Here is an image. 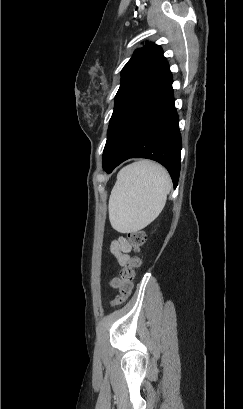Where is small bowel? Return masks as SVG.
Wrapping results in <instances>:
<instances>
[{"label": "small bowel", "instance_id": "small-bowel-1", "mask_svg": "<svg viewBox=\"0 0 243 409\" xmlns=\"http://www.w3.org/2000/svg\"><path fill=\"white\" fill-rule=\"evenodd\" d=\"M111 253L118 260L119 264L124 265L128 260V254L131 251V246L124 237H120L118 240H115L111 243L110 246ZM120 279L112 278L110 285L112 287H118Z\"/></svg>", "mask_w": 243, "mask_h": 409}]
</instances>
